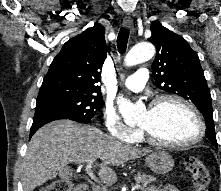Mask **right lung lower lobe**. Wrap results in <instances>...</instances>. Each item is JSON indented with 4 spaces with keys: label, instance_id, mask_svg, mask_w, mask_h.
<instances>
[{
    "label": "right lung lower lobe",
    "instance_id": "98d812e1",
    "mask_svg": "<svg viewBox=\"0 0 221 191\" xmlns=\"http://www.w3.org/2000/svg\"><path fill=\"white\" fill-rule=\"evenodd\" d=\"M60 119H69L67 115L62 113L59 109H56L46 103L36 104L35 115L33 119V124L30 129V137L43 125L46 123L60 120ZM74 121V120H73Z\"/></svg>",
    "mask_w": 221,
    "mask_h": 191
}]
</instances>
